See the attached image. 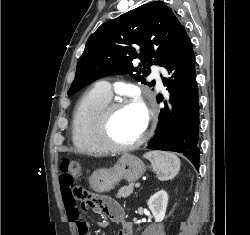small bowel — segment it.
Masks as SVG:
<instances>
[{
	"mask_svg": "<svg viewBox=\"0 0 250 235\" xmlns=\"http://www.w3.org/2000/svg\"><path fill=\"white\" fill-rule=\"evenodd\" d=\"M61 196L69 220L76 224L79 235H87L88 223L82 219L78 211V206L73 196L72 189L61 185ZM90 208L102 211L114 222L120 223L121 227L118 231V235H133L131 224L125 220L124 211L120 204L115 200L110 198H100L96 201V204L91 203ZM100 224L103 225V222Z\"/></svg>",
	"mask_w": 250,
	"mask_h": 235,
	"instance_id": "1",
	"label": "small bowel"
}]
</instances>
